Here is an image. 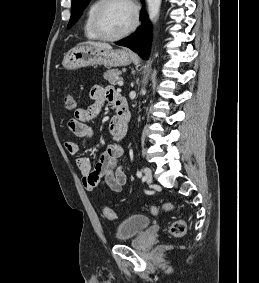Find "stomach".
<instances>
[{"label": "stomach", "instance_id": "1", "mask_svg": "<svg viewBox=\"0 0 259 283\" xmlns=\"http://www.w3.org/2000/svg\"><path fill=\"white\" fill-rule=\"evenodd\" d=\"M133 59L132 54L125 49H105L91 45H82L70 50L63 59L66 69L105 65L117 67L128 65Z\"/></svg>", "mask_w": 259, "mask_h": 283}]
</instances>
